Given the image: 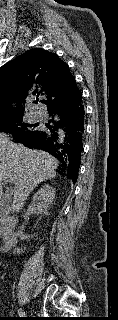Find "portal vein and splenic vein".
Returning a JSON list of instances; mask_svg holds the SVG:
<instances>
[{
	"label": "portal vein and splenic vein",
	"instance_id": "obj_1",
	"mask_svg": "<svg viewBox=\"0 0 118 320\" xmlns=\"http://www.w3.org/2000/svg\"><path fill=\"white\" fill-rule=\"evenodd\" d=\"M0 180L5 181V182H8V183H13V181H12V180H9V179H6V178H4V179H0Z\"/></svg>",
	"mask_w": 118,
	"mask_h": 320
}]
</instances>
